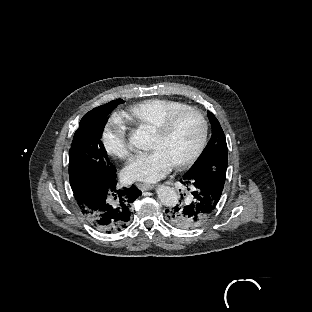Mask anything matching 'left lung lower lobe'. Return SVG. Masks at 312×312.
<instances>
[{
  "label": "left lung lower lobe",
  "mask_w": 312,
  "mask_h": 312,
  "mask_svg": "<svg viewBox=\"0 0 312 312\" xmlns=\"http://www.w3.org/2000/svg\"><path fill=\"white\" fill-rule=\"evenodd\" d=\"M226 173H214L193 180H186L183 184H193L194 200L189 205L175 207L169 212V218L176 224L187 227L205 223L214 214L222 194ZM168 212V210H166Z\"/></svg>",
  "instance_id": "0a47b994"
}]
</instances>
